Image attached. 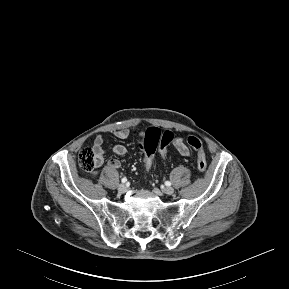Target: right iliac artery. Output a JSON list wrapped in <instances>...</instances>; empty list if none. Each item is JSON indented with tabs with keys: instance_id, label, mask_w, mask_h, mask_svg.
I'll list each match as a JSON object with an SVG mask.
<instances>
[{
	"instance_id": "82829eb1",
	"label": "right iliac artery",
	"mask_w": 289,
	"mask_h": 289,
	"mask_svg": "<svg viewBox=\"0 0 289 289\" xmlns=\"http://www.w3.org/2000/svg\"><path fill=\"white\" fill-rule=\"evenodd\" d=\"M122 183H126L127 182V178L126 177H124V178H122Z\"/></svg>"
}]
</instances>
